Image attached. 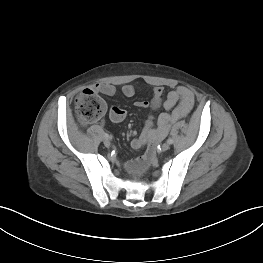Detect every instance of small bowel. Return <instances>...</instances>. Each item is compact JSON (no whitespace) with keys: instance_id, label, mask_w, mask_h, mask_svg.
Instances as JSON below:
<instances>
[{"instance_id":"small-bowel-1","label":"small bowel","mask_w":263,"mask_h":263,"mask_svg":"<svg viewBox=\"0 0 263 263\" xmlns=\"http://www.w3.org/2000/svg\"><path fill=\"white\" fill-rule=\"evenodd\" d=\"M94 90L106 96H113L116 92V88L111 84H97ZM122 93L126 97H132L135 95L136 89L133 85L127 84L122 87ZM135 105L138 108H151L152 110L163 107L169 111L159 115L156 126H154L153 116L147 118L141 135L131 141V146L134 149H139L148 142L163 138L172 123L186 117L194 106V95L188 88L180 86L170 91L164 98L163 87L156 86L150 101H137ZM109 117L112 122L120 123L125 119L126 111L114 106L110 109ZM137 167L136 162L128 164L130 170H135Z\"/></svg>"}]
</instances>
